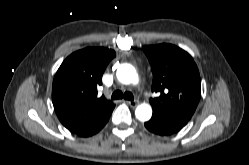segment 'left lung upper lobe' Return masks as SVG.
I'll list each match as a JSON object with an SVG mask.
<instances>
[{
    "label": "left lung upper lobe",
    "instance_id": "left-lung-upper-lobe-1",
    "mask_svg": "<svg viewBox=\"0 0 249 165\" xmlns=\"http://www.w3.org/2000/svg\"><path fill=\"white\" fill-rule=\"evenodd\" d=\"M151 64L152 92L160 96L151 98L152 108L190 120L201 97V79L192 57L171 44L144 46Z\"/></svg>",
    "mask_w": 249,
    "mask_h": 165
}]
</instances>
